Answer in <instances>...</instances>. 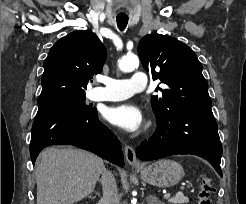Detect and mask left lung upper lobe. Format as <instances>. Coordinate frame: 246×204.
<instances>
[{"mask_svg":"<svg viewBox=\"0 0 246 204\" xmlns=\"http://www.w3.org/2000/svg\"><path fill=\"white\" fill-rule=\"evenodd\" d=\"M138 54L153 80L159 79L168 86L167 89L159 88L161 97H151L157 122L168 118L176 110L211 108L202 65L187 45L173 37L150 34L141 39Z\"/></svg>","mask_w":246,"mask_h":204,"instance_id":"5c2ea615","label":"left lung upper lobe"}]
</instances>
